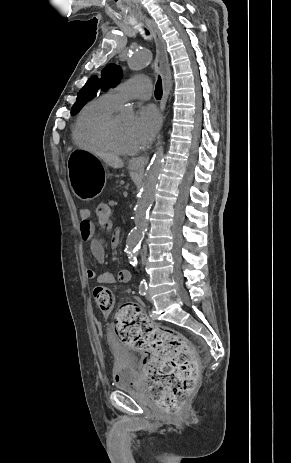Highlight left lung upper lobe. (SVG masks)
<instances>
[{"instance_id": "left-lung-upper-lobe-1", "label": "left lung upper lobe", "mask_w": 291, "mask_h": 463, "mask_svg": "<svg viewBox=\"0 0 291 463\" xmlns=\"http://www.w3.org/2000/svg\"><path fill=\"white\" fill-rule=\"evenodd\" d=\"M122 76L119 66L109 64L101 71V76H92L77 94V99L71 113H77L87 101L93 99L100 90H107L116 86Z\"/></svg>"}]
</instances>
